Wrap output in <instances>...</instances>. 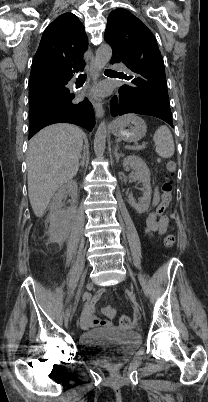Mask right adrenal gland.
I'll return each mask as SVG.
<instances>
[{
  "instance_id": "obj_1",
  "label": "right adrenal gland",
  "mask_w": 208,
  "mask_h": 402,
  "mask_svg": "<svg viewBox=\"0 0 208 402\" xmlns=\"http://www.w3.org/2000/svg\"><path fill=\"white\" fill-rule=\"evenodd\" d=\"M80 160H82L81 164H79V166H83L84 168V164H85V150H83V156H80Z\"/></svg>"
}]
</instances>
